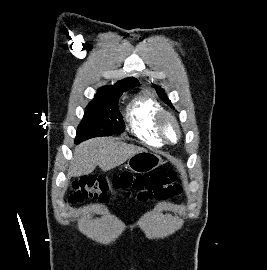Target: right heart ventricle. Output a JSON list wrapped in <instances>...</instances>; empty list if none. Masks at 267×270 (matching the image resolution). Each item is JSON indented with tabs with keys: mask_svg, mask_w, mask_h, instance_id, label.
<instances>
[{
	"mask_svg": "<svg viewBox=\"0 0 267 270\" xmlns=\"http://www.w3.org/2000/svg\"><path fill=\"white\" fill-rule=\"evenodd\" d=\"M161 109L159 101L148 92L136 95L126 108V120L130 132L153 147L163 145L155 129V117Z\"/></svg>",
	"mask_w": 267,
	"mask_h": 270,
	"instance_id": "e07e8e85",
	"label": "right heart ventricle"
}]
</instances>
